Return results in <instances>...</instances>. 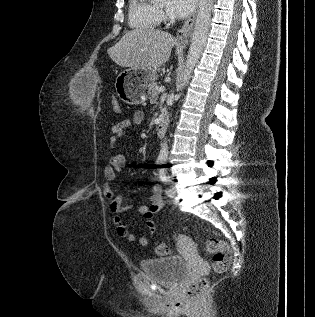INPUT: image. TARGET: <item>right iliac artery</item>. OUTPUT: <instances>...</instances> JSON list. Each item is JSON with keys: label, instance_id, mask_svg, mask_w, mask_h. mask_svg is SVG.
I'll return each instance as SVG.
<instances>
[{"label": "right iliac artery", "instance_id": "82829eb1", "mask_svg": "<svg viewBox=\"0 0 315 317\" xmlns=\"http://www.w3.org/2000/svg\"><path fill=\"white\" fill-rule=\"evenodd\" d=\"M158 164H159V165H161V164H163V162H162V161H160V162H158Z\"/></svg>", "mask_w": 315, "mask_h": 317}]
</instances>
